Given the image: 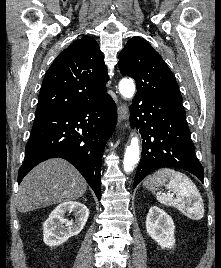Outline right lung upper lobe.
Segmentation results:
<instances>
[{
	"label": "right lung upper lobe",
	"instance_id": "right-lung-upper-lobe-1",
	"mask_svg": "<svg viewBox=\"0 0 221 268\" xmlns=\"http://www.w3.org/2000/svg\"><path fill=\"white\" fill-rule=\"evenodd\" d=\"M107 78L104 56L94 38L76 40L48 69L35 115L61 113L101 100L107 95Z\"/></svg>",
	"mask_w": 221,
	"mask_h": 268
}]
</instances>
